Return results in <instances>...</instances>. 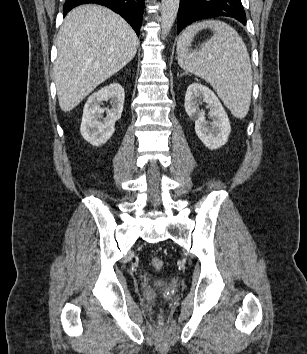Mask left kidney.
Masks as SVG:
<instances>
[{
    "label": "left kidney",
    "mask_w": 307,
    "mask_h": 354,
    "mask_svg": "<svg viewBox=\"0 0 307 354\" xmlns=\"http://www.w3.org/2000/svg\"><path fill=\"white\" fill-rule=\"evenodd\" d=\"M208 104V115L212 122L206 121L205 112L199 108V99ZM185 110L195 121V132L209 149H218L225 145L231 132L227 113L213 91L199 83L188 86L185 94Z\"/></svg>",
    "instance_id": "obj_1"
}]
</instances>
